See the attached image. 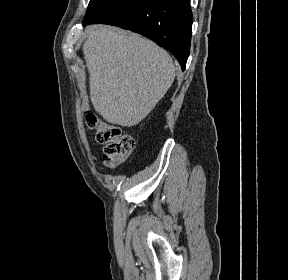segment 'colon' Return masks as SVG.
Instances as JSON below:
<instances>
[{"label": "colon", "instance_id": "5ec220e1", "mask_svg": "<svg viewBox=\"0 0 288 280\" xmlns=\"http://www.w3.org/2000/svg\"><path fill=\"white\" fill-rule=\"evenodd\" d=\"M86 120L90 129L95 132L97 142L104 146L105 166L115 168L123 164L134 149L133 137L123 133L118 126L106 123L93 114H88Z\"/></svg>", "mask_w": 288, "mask_h": 280}]
</instances>
